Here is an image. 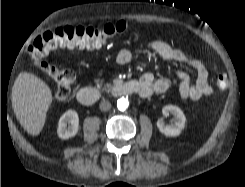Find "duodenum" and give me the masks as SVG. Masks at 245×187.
I'll return each instance as SVG.
<instances>
[{
  "label": "duodenum",
  "mask_w": 245,
  "mask_h": 187,
  "mask_svg": "<svg viewBox=\"0 0 245 187\" xmlns=\"http://www.w3.org/2000/svg\"><path fill=\"white\" fill-rule=\"evenodd\" d=\"M142 86L137 80L118 82L108 89V93L115 97L124 95H141ZM77 100L82 104H93L100 100L102 91L95 87H82L77 91Z\"/></svg>",
  "instance_id": "duodenum-1"
}]
</instances>
